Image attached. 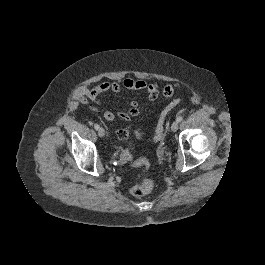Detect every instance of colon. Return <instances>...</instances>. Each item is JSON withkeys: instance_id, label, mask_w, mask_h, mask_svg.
Segmentation results:
<instances>
[{"instance_id": "colon-1", "label": "colon", "mask_w": 265, "mask_h": 265, "mask_svg": "<svg viewBox=\"0 0 265 265\" xmlns=\"http://www.w3.org/2000/svg\"><path fill=\"white\" fill-rule=\"evenodd\" d=\"M164 97L169 99L173 95V88L171 86H166L163 90ZM181 102V99H175L171 101L161 112L157 125L155 134L153 137L154 142H158L163 138L164 135V124L166 117L171 112V110ZM117 136L120 139L127 138L129 131L128 129H121L117 131ZM136 166L143 167L148 170L150 168V162L146 158H140L135 162ZM154 187V180L152 178L146 177L139 184L134 185L131 188V193L136 197L144 196L152 191Z\"/></svg>"}]
</instances>
